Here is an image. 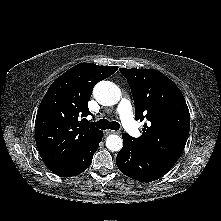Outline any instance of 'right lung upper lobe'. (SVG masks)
I'll list each match as a JSON object with an SVG mask.
<instances>
[{
  "instance_id": "obj_1",
  "label": "right lung upper lobe",
  "mask_w": 221,
  "mask_h": 221,
  "mask_svg": "<svg viewBox=\"0 0 221 221\" xmlns=\"http://www.w3.org/2000/svg\"><path fill=\"white\" fill-rule=\"evenodd\" d=\"M117 70L118 67L81 63L49 87L37 111L35 138L42 160L51 171L73 161L101 133L79 117L91 114L88 101L95 84Z\"/></svg>"
}]
</instances>
